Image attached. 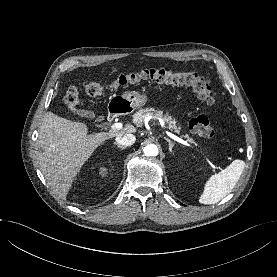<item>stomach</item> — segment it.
<instances>
[{
  "mask_svg": "<svg viewBox=\"0 0 277 277\" xmlns=\"http://www.w3.org/2000/svg\"><path fill=\"white\" fill-rule=\"evenodd\" d=\"M147 102V96L137 91H127L122 95L113 96L109 101V108L114 112L128 114L143 107Z\"/></svg>",
  "mask_w": 277,
  "mask_h": 277,
  "instance_id": "0dacf381",
  "label": "stomach"
}]
</instances>
